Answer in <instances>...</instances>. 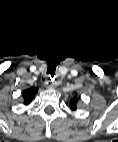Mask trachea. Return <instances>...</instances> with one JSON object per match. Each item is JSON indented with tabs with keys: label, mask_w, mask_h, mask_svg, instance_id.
<instances>
[{
	"label": "trachea",
	"mask_w": 118,
	"mask_h": 142,
	"mask_svg": "<svg viewBox=\"0 0 118 142\" xmlns=\"http://www.w3.org/2000/svg\"><path fill=\"white\" fill-rule=\"evenodd\" d=\"M56 70V64L55 63H48V68H47V74H50V76L53 78L54 73Z\"/></svg>",
	"instance_id": "3493384b"
}]
</instances>
